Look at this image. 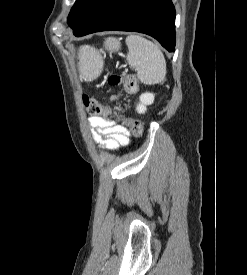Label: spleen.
Masks as SVG:
<instances>
[{
    "label": "spleen",
    "mask_w": 247,
    "mask_h": 275,
    "mask_svg": "<svg viewBox=\"0 0 247 275\" xmlns=\"http://www.w3.org/2000/svg\"><path fill=\"white\" fill-rule=\"evenodd\" d=\"M111 47L110 39L106 42ZM127 59L135 68L137 78L145 85L162 82L166 76V61L159 46L139 35L126 38Z\"/></svg>",
    "instance_id": "spleen-1"
}]
</instances>
